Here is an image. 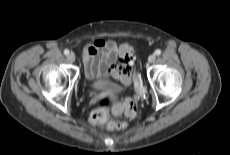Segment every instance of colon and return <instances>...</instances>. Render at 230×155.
Segmentation results:
<instances>
[{
	"label": "colon",
	"mask_w": 230,
	"mask_h": 155,
	"mask_svg": "<svg viewBox=\"0 0 230 155\" xmlns=\"http://www.w3.org/2000/svg\"><path fill=\"white\" fill-rule=\"evenodd\" d=\"M134 60V51L130 46L124 49L123 68L126 74L132 76L131 66ZM125 114L134 118L137 113V104L132 99H128L123 104ZM120 110L117 106V101L112 97L102 98L95 110L89 116V121L93 125H97L108 130H122L126 124L122 121H114L111 119L112 113Z\"/></svg>",
	"instance_id": "5ec220e1"
}]
</instances>
